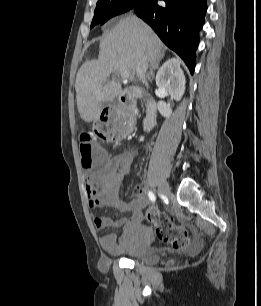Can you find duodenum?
<instances>
[{"label":"duodenum","mask_w":261,"mask_h":306,"mask_svg":"<svg viewBox=\"0 0 261 306\" xmlns=\"http://www.w3.org/2000/svg\"><path fill=\"white\" fill-rule=\"evenodd\" d=\"M141 92L134 87L127 88L120 96V105L123 109H131L134 101L141 97ZM156 123V104L153 101L146 103V116L143 121L145 130H151Z\"/></svg>","instance_id":"410a0bca"}]
</instances>
